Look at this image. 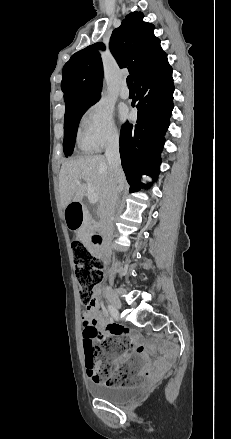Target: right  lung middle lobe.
Masks as SVG:
<instances>
[{
	"instance_id": "right-lung-middle-lobe-1",
	"label": "right lung middle lobe",
	"mask_w": 231,
	"mask_h": 439,
	"mask_svg": "<svg viewBox=\"0 0 231 439\" xmlns=\"http://www.w3.org/2000/svg\"><path fill=\"white\" fill-rule=\"evenodd\" d=\"M96 102H87L65 111L63 151L66 156H71L73 152L77 128L82 115Z\"/></svg>"
}]
</instances>
